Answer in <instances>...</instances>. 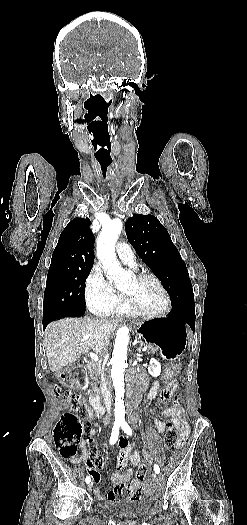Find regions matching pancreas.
Instances as JSON below:
<instances>
[{"instance_id":"obj_1","label":"pancreas","mask_w":247,"mask_h":525,"mask_svg":"<svg viewBox=\"0 0 247 525\" xmlns=\"http://www.w3.org/2000/svg\"><path fill=\"white\" fill-rule=\"evenodd\" d=\"M147 351H151V355H158V353L161 351V348L159 346H152ZM87 369L91 375V379H93V381H98L100 375H102L101 371L103 367L101 363H96L90 359V361L87 363Z\"/></svg>"}]
</instances>
